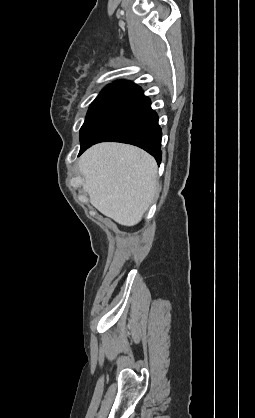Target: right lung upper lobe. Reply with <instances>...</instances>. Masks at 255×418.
<instances>
[{
	"label": "right lung upper lobe",
	"mask_w": 255,
	"mask_h": 418,
	"mask_svg": "<svg viewBox=\"0 0 255 418\" xmlns=\"http://www.w3.org/2000/svg\"><path fill=\"white\" fill-rule=\"evenodd\" d=\"M134 85V83L133 82H130V81H125V80H122V81H116V82H114L113 84H110V86H118V87H122V88H128V87H130V86H133Z\"/></svg>",
	"instance_id": "1"
}]
</instances>
